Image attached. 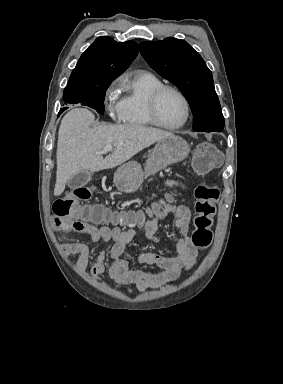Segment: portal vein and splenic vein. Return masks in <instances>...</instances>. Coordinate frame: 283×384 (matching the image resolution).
I'll return each mask as SVG.
<instances>
[{
  "label": "portal vein and splenic vein",
  "mask_w": 283,
  "mask_h": 384,
  "mask_svg": "<svg viewBox=\"0 0 283 384\" xmlns=\"http://www.w3.org/2000/svg\"><path fill=\"white\" fill-rule=\"evenodd\" d=\"M113 148L111 144H107V146H104L102 152H112Z\"/></svg>",
  "instance_id": "18ae733b"
}]
</instances>
